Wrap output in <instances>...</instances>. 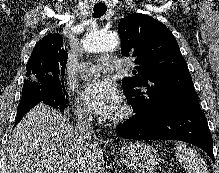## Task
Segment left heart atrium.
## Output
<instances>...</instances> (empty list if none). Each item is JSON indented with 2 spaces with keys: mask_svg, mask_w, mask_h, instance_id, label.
Listing matches in <instances>:
<instances>
[{
  "mask_svg": "<svg viewBox=\"0 0 219 173\" xmlns=\"http://www.w3.org/2000/svg\"><path fill=\"white\" fill-rule=\"evenodd\" d=\"M85 104L103 118L115 116L120 110L121 94L113 82L94 81L82 90Z\"/></svg>",
  "mask_w": 219,
  "mask_h": 173,
  "instance_id": "39dd6f15",
  "label": "left heart atrium"
}]
</instances>
